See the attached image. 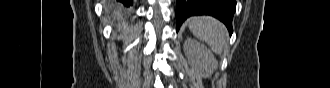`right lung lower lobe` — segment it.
Instances as JSON below:
<instances>
[{
  "instance_id": "98d812e1",
  "label": "right lung lower lobe",
  "mask_w": 330,
  "mask_h": 88,
  "mask_svg": "<svg viewBox=\"0 0 330 88\" xmlns=\"http://www.w3.org/2000/svg\"><path fill=\"white\" fill-rule=\"evenodd\" d=\"M121 3H123L125 6L129 7L133 5V0H117Z\"/></svg>"
}]
</instances>
